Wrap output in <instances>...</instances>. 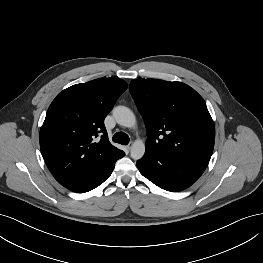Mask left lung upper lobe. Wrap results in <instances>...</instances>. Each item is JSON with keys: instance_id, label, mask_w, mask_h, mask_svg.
Segmentation results:
<instances>
[{"instance_id": "1", "label": "left lung upper lobe", "mask_w": 263, "mask_h": 263, "mask_svg": "<svg viewBox=\"0 0 263 263\" xmlns=\"http://www.w3.org/2000/svg\"><path fill=\"white\" fill-rule=\"evenodd\" d=\"M129 90L147 128L146 151L208 166L215 127L194 89L182 82L141 78L132 80Z\"/></svg>"}]
</instances>
